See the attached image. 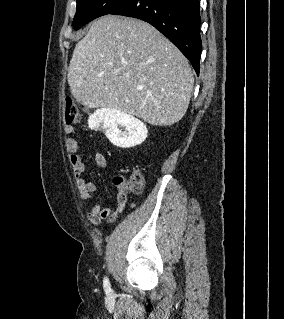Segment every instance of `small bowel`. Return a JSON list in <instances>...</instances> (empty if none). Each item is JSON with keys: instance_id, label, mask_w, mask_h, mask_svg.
<instances>
[{"instance_id": "1", "label": "small bowel", "mask_w": 284, "mask_h": 319, "mask_svg": "<svg viewBox=\"0 0 284 319\" xmlns=\"http://www.w3.org/2000/svg\"><path fill=\"white\" fill-rule=\"evenodd\" d=\"M65 132L68 135H72L74 134V128L72 126H66ZM65 146L80 198L91 205L90 210L87 213L88 221L94 226H98L102 220H107L109 222L115 221L125 209L127 202L126 193L124 191L118 192L117 205L115 209L110 207H101L94 200V193L96 191L95 183L92 181H86L81 176L84 172V164L78 154L79 144L77 140L72 137L68 138L66 140ZM95 162L98 167L102 169L107 168V161L103 154L97 153L95 155Z\"/></svg>"}]
</instances>
